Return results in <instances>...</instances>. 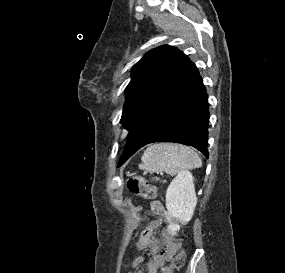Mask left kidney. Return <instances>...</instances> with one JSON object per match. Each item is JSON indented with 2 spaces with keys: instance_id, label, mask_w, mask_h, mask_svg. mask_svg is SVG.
Listing matches in <instances>:
<instances>
[{
  "instance_id": "obj_1",
  "label": "left kidney",
  "mask_w": 285,
  "mask_h": 273,
  "mask_svg": "<svg viewBox=\"0 0 285 273\" xmlns=\"http://www.w3.org/2000/svg\"><path fill=\"white\" fill-rule=\"evenodd\" d=\"M196 204L197 197L193 176L189 171H183L171 182L166 191L167 219L170 220L168 230L170 234L176 235L180 230L178 222L187 223L191 220Z\"/></svg>"
}]
</instances>
